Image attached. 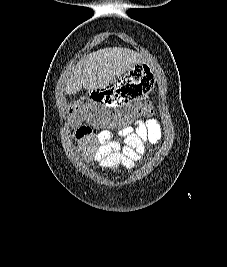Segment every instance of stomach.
Returning <instances> with one entry per match:
<instances>
[{
    "mask_svg": "<svg viewBox=\"0 0 227 267\" xmlns=\"http://www.w3.org/2000/svg\"><path fill=\"white\" fill-rule=\"evenodd\" d=\"M155 73H150L149 64L140 62L131 64L127 72L120 73L119 77H112V82H106V87H93L88 91L85 104H102V107H127V104H136L142 101V96H149L154 82Z\"/></svg>",
    "mask_w": 227,
    "mask_h": 267,
    "instance_id": "1",
    "label": "stomach"
}]
</instances>
